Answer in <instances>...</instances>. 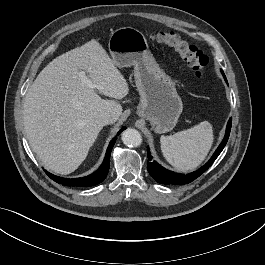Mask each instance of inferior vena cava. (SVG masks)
I'll return each instance as SVG.
<instances>
[{
    "mask_svg": "<svg viewBox=\"0 0 265 265\" xmlns=\"http://www.w3.org/2000/svg\"><path fill=\"white\" fill-rule=\"evenodd\" d=\"M96 121L104 126L115 122V117L110 113L103 112L96 117Z\"/></svg>",
    "mask_w": 265,
    "mask_h": 265,
    "instance_id": "obj_1",
    "label": "inferior vena cava"
}]
</instances>
